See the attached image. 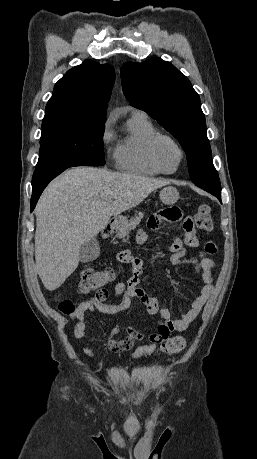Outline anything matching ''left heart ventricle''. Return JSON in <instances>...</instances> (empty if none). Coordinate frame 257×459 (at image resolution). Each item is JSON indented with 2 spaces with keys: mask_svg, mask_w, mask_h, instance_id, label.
<instances>
[{
  "mask_svg": "<svg viewBox=\"0 0 257 459\" xmlns=\"http://www.w3.org/2000/svg\"><path fill=\"white\" fill-rule=\"evenodd\" d=\"M156 156L162 167L174 170L179 162L180 154L176 146L169 140H161L156 147Z\"/></svg>",
  "mask_w": 257,
  "mask_h": 459,
  "instance_id": "b2bd125f",
  "label": "left heart ventricle"
}]
</instances>
